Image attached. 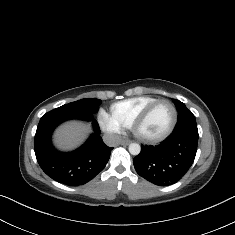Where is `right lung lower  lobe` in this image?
<instances>
[{
    "mask_svg": "<svg viewBox=\"0 0 235 235\" xmlns=\"http://www.w3.org/2000/svg\"><path fill=\"white\" fill-rule=\"evenodd\" d=\"M69 119L91 121L94 133L88 141L75 151L63 153L51 143V135L57 125ZM97 121L90 116H67L52 110L38 124L34 150L42 170L52 179L69 186L83 185L93 179L106 166L113 148L100 137Z\"/></svg>",
    "mask_w": 235,
    "mask_h": 235,
    "instance_id": "98d812e1",
    "label": "right lung lower lobe"
}]
</instances>
